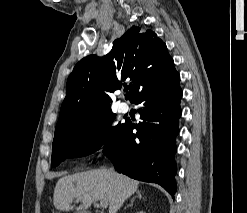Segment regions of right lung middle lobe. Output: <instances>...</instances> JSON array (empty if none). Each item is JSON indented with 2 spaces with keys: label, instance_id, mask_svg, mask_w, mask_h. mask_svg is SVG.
<instances>
[{
  "label": "right lung middle lobe",
  "instance_id": "right-lung-middle-lobe-1",
  "mask_svg": "<svg viewBox=\"0 0 247 213\" xmlns=\"http://www.w3.org/2000/svg\"><path fill=\"white\" fill-rule=\"evenodd\" d=\"M114 118L115 115L111 110H107L84 125L56 134L52 144L51 166L56 167L69 157L89 155L97 151L103 144V152L108 151L116 143L123 127L121 123L109 127Z\"/></svg>",
  "mask_w": 247,
  "mask_h": 213
}]
</instances>
